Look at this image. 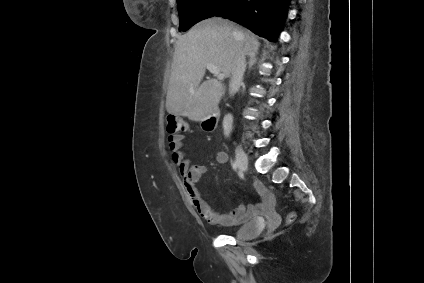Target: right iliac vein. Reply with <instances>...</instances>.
<instances>
[{
  "instance_id": "right-iliac-vein-1",
  "label": "right iliac vein",
  "mask_w": 424,
  "mask_h": 283,
  "mask_svg": "<svg viewBox=\"0 0 424 283\" xmlns=\"http://www.w3.org/2000/svg\"><path fill=\"white\" fill-rule=\"evenodd\" d=\"M236 162L242 172H245L247 170L248 158L240 146H238L236 149Z\"/></svg>"
}]
</instances>
